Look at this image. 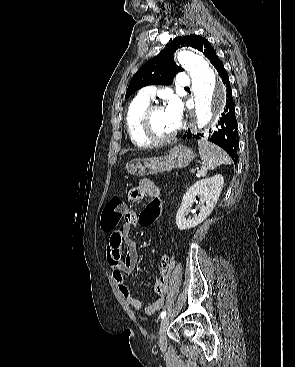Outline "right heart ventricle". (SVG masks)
<instances>
[{
  "label": "right heart ventricle",
  "instance_id": "obj_1",
  "mask_svg": "<svg viewBox=\"0 0 295 367\" xmlns=\"http://www.w3.org/2000/svg\"><path fill=\"white\" fill-rule=\"evenodd\" d=\"M149 104V100L136 97L129 104L125 115V125L129 138L134 145L141 148L149 147L152 144L143 136L140 128L141 116Z\"/></svg>",
  "mask_w": 295,
  "mask_h": 367
}]
</instances>
